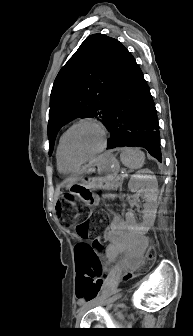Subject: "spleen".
Listing matches in <instances>:
<instances>
[{
    "instance_id": "spleen-1",
    "label": "spleen",
    "mask_w": 193,
    "mask_h": 336,
    "mask_svg": "<svg viewBox=\"0 0 193 336\" xmlns=\"http://www.w3.org/2000/svg\"><path fill=\"white\" fill-rule=\"evenodd\" d=\"M120 158L122 163L131 169H139L145 162L144 152L137 148H123Z\"/></svg>"
}]
</instances>
